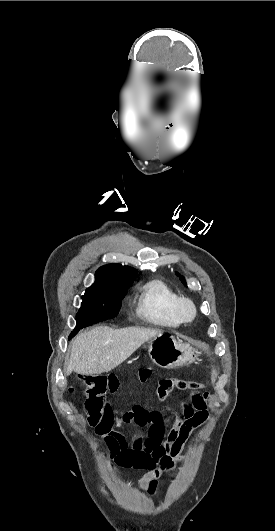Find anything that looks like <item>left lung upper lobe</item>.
I'll use <instances>...</instances> for the list:
<instances>
[{"mask_svg":"<svg viewBox=\"0 0 275 531\" xmlns=\"http://www.w3.org/2000/svg\"><path fill=\"white\" fill-rule=\"evenodd\" d=\"M177 275H179V274L177 273ZM180 279H181L182 283H183L185 286H187L184 277L180 276Z\"/></svg>","mask_w":275,"mask_h":531,"instance_id":"5c2ea615","label":"left lung upper lobe"}]
</instances>
